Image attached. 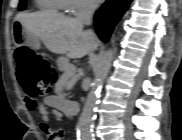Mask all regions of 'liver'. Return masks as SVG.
<instances>
[{
	"mask_svg": "<svg viewBox=\"0 0 182 140\" xmlns=\"http://www.w3.org/2000/svg\"><path fill=\"white\" fill-rule=\"evenodd\" d=\"M16 19L27 34L39 38L55 54L82 58L98 47V40L91 31H84L76 18L57 12L21 13Z\"/></svg>",
	"mask_w": 182,
	"mask_h": 140,
	"instance_id": "liver-1",
	"label": "liver"
}]
</instances>
